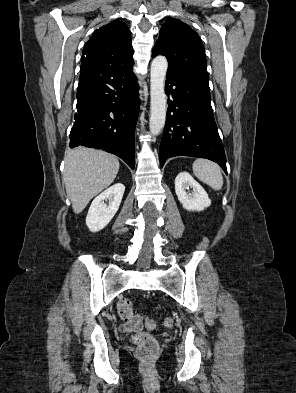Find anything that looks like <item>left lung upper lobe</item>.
<instances>
[{
	"label": "left lung upper lobe",
	"mask_w": 296,
	"mask_h": 393,
	"mask_svg": "<svg viewBox=\"0 0 296 393\" xmlns=\"http://www.w3.org/2000/svg\"><path fill=\"white\" fill-rule=\"evenodd\" d=\"M157 55L167 57V74L208 80L202 41L194 30L178 19L172 18L162 25L153 49V56Z\"/></svg>",
	"instance_id": "1"
}]
</instances>
